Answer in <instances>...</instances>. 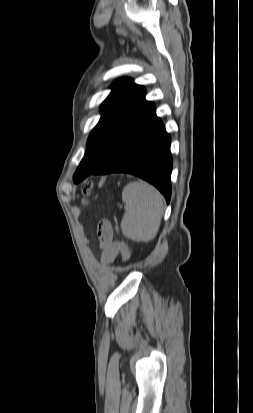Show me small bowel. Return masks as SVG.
Returning <instances> with one entry per match:
<instances>
[{
  "label": "small bowel",
  "mask_w": 253,
  "mask_h": 413,
  "mask_svg": "<svg viewBox=\"0 0 253 413\" xmlns=\"http://www.w3.org/2000/svg\"><path fill=\"white\" fill-rule=\"evenodd\" d=\"M98 235L100 239L101 261L104 264H110L120 255L123 260L130 257L129 248L113 240L111 225L107 221L99 224Z\"/></svg>",
  "instance_id": "obj_1"
}]
</instances>
